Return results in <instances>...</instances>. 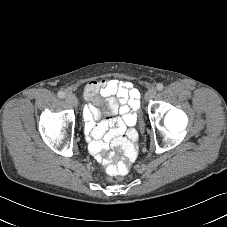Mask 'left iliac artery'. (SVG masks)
I'll return each instance as SVG.
<instances>
[{"label":"left iliac artery","mask_w":227,"mask_h":227,"mask_svg":"<svg viewBox=\"0 0 227 227\" xmlns=\"http://www.w3.org/2000/svg\"><path fill=\"white\" fill-rule=\"evenodd\" d=\"M163 88H164V85H163L162 83H159V84L156 86V89H157L158 91H162Z\"/></svg>","instance_id":"44dca946"}]
</instances>
